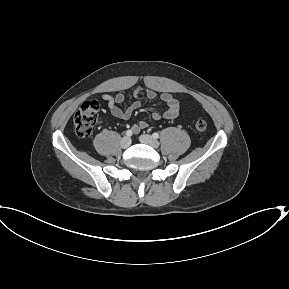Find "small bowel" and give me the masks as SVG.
I'll return each mask as SVG.
<instances>
[{"instance_id":"1","label":"small bowel","mask_w":289,"mask_h":289,"mask_svg":"<svg viewBox=\"0 0 289 289\" xmlns=\"http://www.w3.org/2000/svg\"><path fill=\"white\" fill-rule=\"evenodd\" d=\"M134 96L136 100L132 102L127 108L121 109L119 107L120 104L124 103L125 101V96L122 93H118L115 96L109 95V94H104L102 95V100L107 103L108 109L110 113L119 119H128L132 113L137 110L138 108L141 107V97L144 96L147 99H154L157 94L155 91L151 89L147 90H142V89H137L134 92ZM161 100L165 103L166 105V110L164 113H159L157 111L153 112V118L154 119H174L178 117L180 107H179V102L178 100L170 93H162L160 95ZM148 127V123L145 121H140L139 123L135 124L132 129L135 133H138L141 129H144Z\"/></svg>"}]
</instances>
